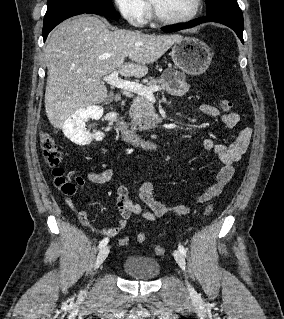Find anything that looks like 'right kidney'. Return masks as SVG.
I'll list each match as a JSON object with an SVG mask.
<instances>
[{
    "label": "right kidney",
    "mask_w": 284,
    "mask_h": 319,
    "mask_svg": "<svg viewBox=\"0 0 284 319\" xmlns=\"http://www.w3.org/2000/svg\"><path fill=\"white\" fill-rule=\"evenodd\" d=\"M101 114L102 110L96 106H89L77 110L63 126L65 136L77 145H87L93 139L101 141L104 137L102 132L90 133L85 127V122L89 118L98 117Z\"/></svg>",
    "instance_id": "ca27d5eb"
}]
</instances>
